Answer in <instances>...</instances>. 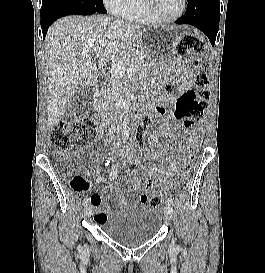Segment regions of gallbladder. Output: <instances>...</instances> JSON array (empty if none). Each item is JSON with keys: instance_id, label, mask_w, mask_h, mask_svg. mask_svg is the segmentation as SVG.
Wrapping results in <instances>:
<instances>
[{"instance_id": "bac80fb5", "label": "gallbladder", "mask_w": 265, "mask_h": 273, "mask_svg": "<svg viewBox=\"0 0 265 273\" xmlns=\"http://www.w3.org/2000/svg\"><path fill=\"white\" fill-rule=\"evenodd\" d=\"M92 94L93 87H81L79 91L74 95L72 102L67 108L64 114V119L72 122L83 116L85 112L89 109Z\"/></svg>"}]
</instances>
